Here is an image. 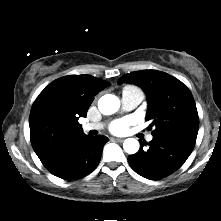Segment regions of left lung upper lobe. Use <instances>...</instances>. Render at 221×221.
<instances>
[{
  "mask_svg": "<svg viewBox=\"0 0 221 221\" xmlns=\"http://www.w3.org/2000/svg\"><path fill=\"white\" fill-rule=\"evenodd\" d=\"M140 86L146 93V120L155 126L153 136H180L195 143L199 117L190 90L175 77L157 70H142L123 75L119 84Z\"/></svg>",
  "mask_w": 221,
  "mask_h": 221,
  "instance_id": "left-lung-upper-lobe-1",
  "label": "left lung upper lobe"
}]
</instances>
